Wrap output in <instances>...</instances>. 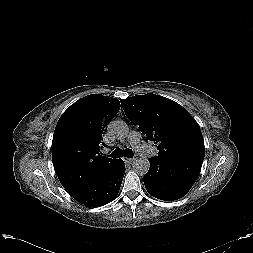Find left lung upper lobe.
<instances>
[{
	"instance_id": "left-lung-upper-lobe-1",
	"label": "left lung upper lobe",
	"mask_w": 253,
	"mask_h": 253,
	"mask_svg": "<svg viewBox=\"0 0 253 253\" xmlns=\"http://www.w3.org/2000/svg\"><path fill=\"white\" fill-rule=\"evenodd\" d=\"M120 101L128 119L154 142L157 157L203 161L205 147L199 124L181 105L151 93Z\"/></svg>"
}]
</instances>
